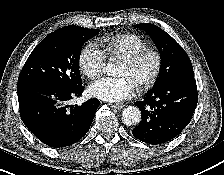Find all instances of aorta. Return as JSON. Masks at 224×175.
Returning a JSON list of instances; mask_svg holds the SVG:
<instances>
[{"instance_id":"obj_1","label":"aorta","mask_w":224,"mask_h":175,"mask_svg":"<svg viewBox=\"0 0 224 175\" xmlns=\"http://www.w3.org/2000/svg\"><path fill=\"white\" fill-rule=\"evenodd\" d=\"M116 64L110 62L105 67V73L107 75H115L116 74ZM141 120V112L136 106H128L122 111V121L124 124L128 126L136 125Z\"/></svg>"}]
</instances>
